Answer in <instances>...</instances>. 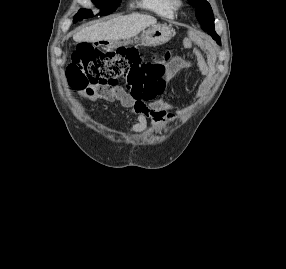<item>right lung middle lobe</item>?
I'll return each mask as SVG.
<instances>
[{
	"instance_id": "right-lung-middle-lobe-1",
	"label": "right lung middle lobe",
	"mask_w": 286,
	"mask_h": 269,
	"mask_svg": "<svg viewBox=\"0 0 286 269\" xmlns=\"http://www.w3.org/2000/svg\"><path fill=\"white\" fill-rule=\"evenodd\" d=\"M98 8L101 9L99 15H108L111 14L117 6L119 5L121 0H92ZM93 14L90 10L81 9L78 14L75 15L73 22H77L82 20L83 18L92 17Z\"/></svg>"
}]
</instances>
